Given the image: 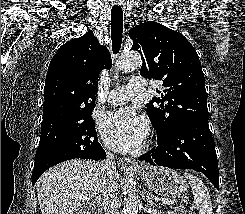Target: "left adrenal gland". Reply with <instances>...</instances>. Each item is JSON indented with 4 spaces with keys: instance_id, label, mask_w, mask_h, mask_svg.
Wrapping results in <instances>:
<instances>
[{
    "instance_id": "obj_1",
    "label": "left adrenal gland",
    "mask_w": 245,
    "mask_h": 214,
    "mask_svg": "<svg viewBox=\"0 0 245 214\" xmlns=\"http://www.w3.org/2000/svg\"><path fill=\"white\" fill-rule=\"evenodd\" d=\"M143 197H144V198L146 197L147 201H148L151 205L154 204L153 199L150 198L149 196H147V191H146V189H143Z\"/></svg>"
}]
</instances>
